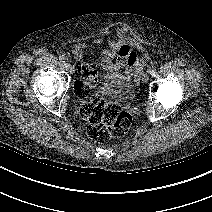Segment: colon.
Wrapping results in <instances>:
<instances>
[{"instance_id":"5ec220e1","label":"colon","mask_w":212,"mask_h":212,"mask_svg":"<svg viewBox=\"0 0 212 212\" xmlns=\"http://www.w3.org/2000/svg\"><path fill=\"white\" fill-rule=\"evenodd\" d=\"M77 80L75 91L78 96L85 97L93 87L96 72L83 58H78L75 66ZM80 114L88 120L87 135L97 142H106L121 137L129 130L132 117L126 108L118 103H107L99 97L84 100Z\"/></svg>"}]
</instances>
